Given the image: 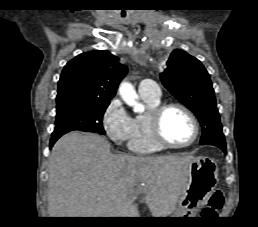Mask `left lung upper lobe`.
Listing matches in <instances>:
<instances>
[{"label":"left lung upper lobe","instance_id":"5c2ea615","mask_svg":"<svg viewBox=\"0 0 258 227\" xmlns=\"http://www.w3.org/2000/svg\"><path fill=\"white\" fill-rule=\"evenodd\" d=\"M163 85L188 107L202 126L201 145H225L215 94L202 63L183 50H174L160 73Z\"/></svg>","mask_w":258,"mask_h":227}]
</instances>
